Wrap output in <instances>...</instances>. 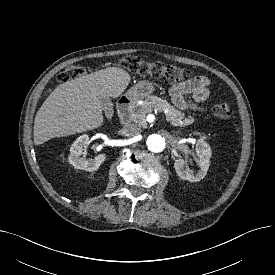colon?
Instances as JSON below:
<instances>
[{
  "instance_id": "colon-1",
  "label": "colon",
  "mask_w": 275,
  "mask_h": 275,
  "mask_svg": "<svg viewBox=\"0 0 275 275\" xmlns=\"http://www.w3.org/2000/svg\"><path fill=\"white\" fill-rule=\"evenodd\" d=\"M120 64L130 72L141 76L163 79L166 82H180L191 77L192 71L187 68L161 62H148L134 55H125L120 59ZM85 74L83 67L71 65L62 71L58 79L67 82L79 78ZM212 114L219 119L226 120L232 115L231 106L228 103H219L213 106Z\"/></svg>"
}]
</instances>
